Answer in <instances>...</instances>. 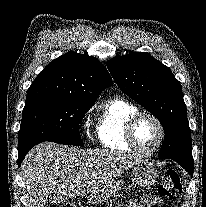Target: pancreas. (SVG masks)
<instances>
[{
    "label": "pancreas",
    "instance_id": "cf45deb5",
    "mask_svg": "<svg viewBox=\"0 0 206 207\" xmlns=\"http://www.w3.org/2000/svg\"><path fill=\"white\" fill-rule=\"evenodd\" d=\"M118 207H128V206H118Z\"/></svg>",
    "mask_w": 206,
    "mask_h": 207
}]
</instances>
